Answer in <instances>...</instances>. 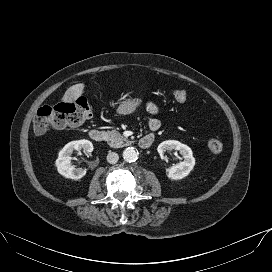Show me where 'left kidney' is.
<instances>
[{"label":"left kidney","instance_id":"obj_1","mask_svg":"<svg viewBox=\"0 0 272 272\" xmlns=\"http://www.w3.org/2000/svg\"><path fill=\"white\" fill-rule=\"evenodd\" d=\"M177 150L184 160L166 169L167 177L172 180H180L189 175L195 165V158L189 146L176 140H166L158 145L157 151L162 159H165L166 151Z\"/></svg>","mask_w":272,"mask_h":272}]
</instances>
